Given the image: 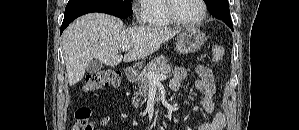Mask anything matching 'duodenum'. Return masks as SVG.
Returning a JSON list of instances; mask_svg holds the SVG:
<instances>
[{"label":"duodenum","mask_w":299,"mask_h":130,"mask_svg":"<svg viewBox=\"0 0 299 130\" xmlns=\"http://www.w3.org/2000/svg\"><path fill=\"white\" fill-rule=\"evenodd\" d=\"M125 75L128 80L133 81L136 78V71L133 68L128 67L125 70Z\"/></svg>","instance_id":"410a0bca"}]
</instances>
